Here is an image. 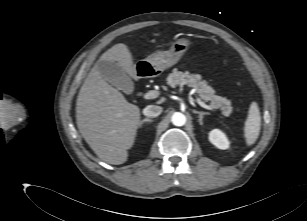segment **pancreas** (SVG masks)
<instances>
[{"label": "pancreas", "mask_w": 307, "mask_h": 221, "mask_svg": "<svg viewBox=\"0 0 307 221\" xmlns=\"http://www.w3.org/2000/svg\"><path fill=\"white\" fill-rule=\"evenodd\" d=\"M167 84L171 87L185 84L188 87L194 88L201 99L209 102L212 108L222 110L225 116L230 115L233 111L231 101L217 95L215 90L205 80H202L199 74L174 70L173 73L168 75Z\"/></svg>", "instance_id": "pancreas-1"}]
</instances>
